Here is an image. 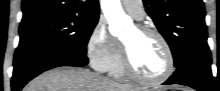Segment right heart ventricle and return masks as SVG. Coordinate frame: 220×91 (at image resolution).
I'll return each instance as SVG.
<instances>
[{"mask_svg": "<svg viewBox=\"0 0 220 91\" xmlns=\"http://www.w3.org/2000/svg\"><path fill=\"white\" fill-rule=\"evenodd\" d=\"M109 71L111 72L112 76L116 78L125 77V73L123 69V61H122V49H120V53Z\"/></svg>", "mask_w": 220, "mask_h": 91, "instance_id": "right-heart-ventricle-1", "label": "right heart ventricle"}]
</instances>
